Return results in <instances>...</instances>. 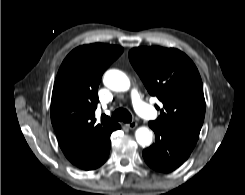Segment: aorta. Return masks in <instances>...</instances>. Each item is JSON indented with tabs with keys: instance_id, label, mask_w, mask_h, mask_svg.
I'll return each mask as SVG.
<instances>
[{
	"instance_id": "762f6f07",
	"label": "aorta",
	"mask_w": 245,
	"mask_h": 195,
	"mask_svg": "<svg viewBox=\"0 0 245 195\" xmlns=\"http://www.w3.org/2000/svg\"><path fill=\"white\" fill-rule=\"evenodd\" d=\"M103 83L106 87L113 91L122 92L130 88L128 77L119 70H108L104 74ZM137 143L142 147H147L152 143V132L146 127H140L135 132Z\"/></svg>"
}]
</instances>
